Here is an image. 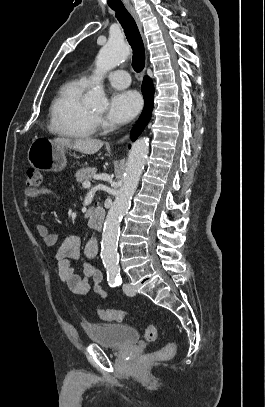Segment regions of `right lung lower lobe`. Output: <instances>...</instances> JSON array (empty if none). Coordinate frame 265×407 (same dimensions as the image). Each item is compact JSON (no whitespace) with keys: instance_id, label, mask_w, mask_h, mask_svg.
<instances>
[{"instance_id":"1","label":"right lung lower lobe","mask_w":265,"mask_h":407,"mask_svg":"<svg viewBox=\"0 0 265 407\" xmlns=\"http://www.w3.org/2000/svg\"><path fill=\"white\" fill-rule=\"evenodd\" d=\"M142 93L144 95L145 106L143 112L131 132V139L134 141L141 134L152 114L154 103V86L150 77L145 76L142 83Z\"/></svg>"}]
</instances>
